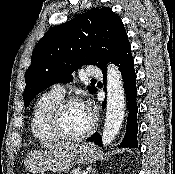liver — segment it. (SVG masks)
<instances>
[{
    "mask_svg": "<svg viewBox=\"0 0 175 174\" xmlns=\"http://www.w3.org/2000/svg\"><path fill=\"white\" fill-rule=\"evenodd\" d=\"M45 148L49 149H67V150H73L77 147V145L70 144V143H65V144H50V145H45Z\"/></svg>",
    "mask_w": 175,
    "mask_h": 174,
    "instance_id": "6515ba94",
    "label": "liver"
}]
</instances>
